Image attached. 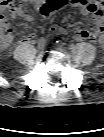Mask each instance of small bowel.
<instances>
[{
    "label": "small bowel",
    "mask_w": 104,
    "mask_h": 137,
    "mask_svg": "<svg viewBox=\"0 0 104 137\" xmlns=\"http://www.w3.org/2000/svg\"><path fill=\"white\" fill-rule=\"evenodd\" d=\"M65 5H71L78 8L82 15L86 17H92L95 23V26L92 30L84 28L76 30L75 38L78 40H92L100 42L103 34V27L101 26L103 10L100 3L97 0H68ZM18 15L26 22L32 21V17L27 13L20 12ZM6 22L9 25L7 20ZM54 32L61 33L63 32V29L54 28ZM12 40L13 35L11 32L3 35V37L0 39V47L3 50L8 49L12 43Z\"/></svg>",
    "instance_id": "small-bowel-1"
}]
</instances>
